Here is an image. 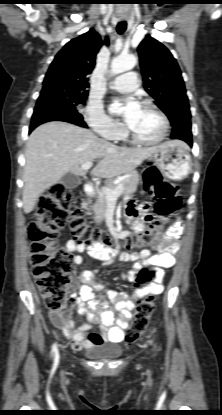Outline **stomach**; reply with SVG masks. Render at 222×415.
Returning a JSON list of instances; mask_svg holds the SVG:
<instances>
[{"mask_svg":"<svg viewBox=\"0 0 222 415\" xmlns=\"http://www.w3.org/2000/svg\"><path fill=\"white\" fill-rule=\"evenodd\" d=\"M150 159L170 180L180 181L191 172V157L184 143L180 145L177 141L165 142L150 156Z\"/></svg>","mask_w":222,"mask_h":415,"instance_id":"0dacf381","label":"stomach"}]
</instances>
